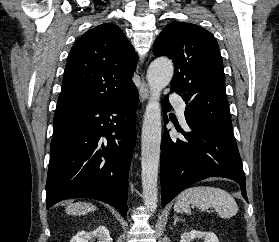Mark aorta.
<instances>
[{
  "instance_id": "1",
  "label": "aorta",
  "mask_w": 279,
  "mask_h": 242,
  "mask_svg": "<svg viewBox=\"0 0 279 242\" xmlns=\"http://www.w3.org/2000/svg\"><path fill=\"white\" fill-rule=\"evenodd\" d=\"M174 73L172 61L160 57L147 70L150 99L146 106L141 140V179L143 201L148 211L154 212L158 201V167L161 144L160 93L171 82Z\"/></svg>"
}]
</instances>
